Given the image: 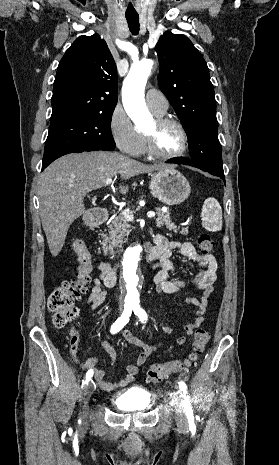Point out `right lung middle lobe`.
Returning a JSON list of instances; mask_svg holds the SVG:
<instances>
[{
	"instance_id": "right-lung-middle-lobe-1",
	"label": "right lung middle lobe",
	"mask_w": 279,
	"mask_h": 465,
	"mask_svg": "<svg viewBox=\"0 0 279 465\" xmlns=\"http://www.w3.org/2000/svg\"><path fill=\"white\" fill-rule=\"evenodd\" d=\"M114 109L90 113L50 124L45 142L43 165L87 146H115L110 122Z\"/></svg>"
}]
</instances>
